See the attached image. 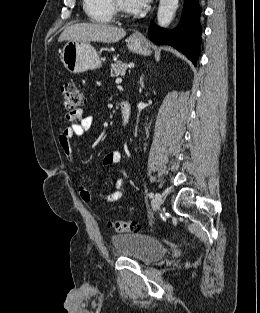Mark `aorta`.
<instances>
[{"mask_svg":"<svg viewBox=\"0 0 260 313\" xmlns=\"http://www.w3.org/2000/svg\"><path fill=\"white\" fill-rule=\"evenodd\" d=\"M179 0H160L157 20L160 27H167L177 10Z\"/></svg>","mask_w":260,"mask_h":313,"instance_id":"762f6f07","label":"aorta"}]
</instances>
